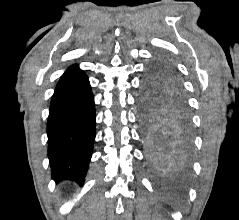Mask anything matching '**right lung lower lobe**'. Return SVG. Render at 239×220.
Wrapping results in <instances>:
<instances>
[{
	"label": "right lung lower lobe",
	"instance_id": "98d812e1",
	"mask_svg": "<svg viewBox=\"0 0 239 220\" xmlns=\"http://www.w3.org/2000/svg\"><path fill=\"white\" fill-rule=\"evenodd\" d=\"M94 97L86 74L77 65L60 78L47 124L52 178L82 183L92 156L96 132Z\"/></svg>",
	"mask_w": 239,
	"mask_h": 220
}]
</instances>
